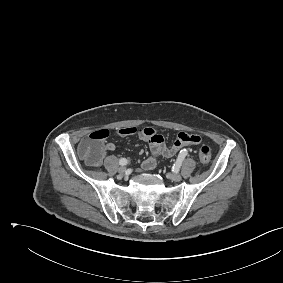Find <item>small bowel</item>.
Segmentation results:
<instances>
[{"instance_id":"obj_1","label":"small bowel","mask_w":283,"mask_h":283,"mask_svg":"<svg viewBox=\"0 0 283 283\" xmlns=\"http://www.w3.org/2000/svg\"><path fill=\"white\" fill-rule=\"evenodd\" d=\"M120 137L138 136L141 140L147 141L150 145L151 155L142 162L143 170H153L157 166V157H172L176 155L182 148L200 144L202 138L197 134H188L180 132L171 146L165 144L164 137L156 130L150 127L136 128L124 127L116 131ZM104 152H110L115 149L112 142H107L103 146Z\"/></svg>"}]
</instances>
